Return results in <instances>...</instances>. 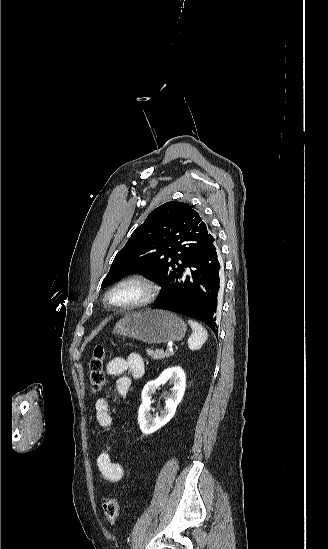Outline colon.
Instances as JSON below:
<instances>
[{"mask_svg":"<svg viewBox=\"0 0 328 549\" xmlns=\"http://www.w3.org/2000/svg\"><path fill=\"white\" fill-rule=\"evenodd\" d=\"M106 347L97 345L89 363V379L94 392L100 391L105 384L104 361ZM104 515L109 524L114 525L119 515V503L116 497H110L103 505Z\"/></svg>","mask_w":328,"mask_h":549,"instance_id":"1","label":"colon"}]
</instances>
